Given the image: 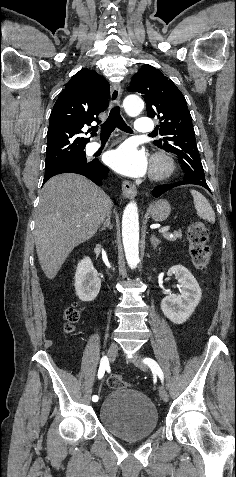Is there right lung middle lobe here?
I'll return each mask as SVG.
<instances>
[{
	"label": "right lung middle lobe",
	"instance_id": "1",
	"mask_svg": "<svg viewBox=\"0 0 236 477\" xmlns=\"http://www.w3.org/2000/svg\"><path fill=\"white\" fill-rule=\"evenodd\" d=\"M92 161H88L85 156V152H79L73 156H70L68 158H65L63 160L57 161L52 164H45V171L54 169V168H63V167H69V166H77V165H87L91 163Z\"/></svg>",
	"mask_w": 236,
	"mask_h": 477
}]
</instances>
